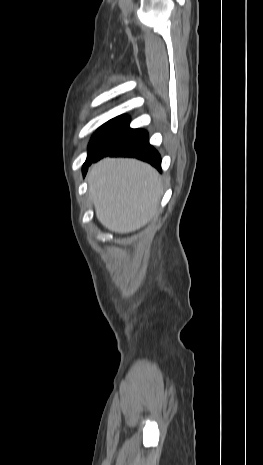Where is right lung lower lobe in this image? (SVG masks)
I'll use <instances>...</instances> for the list:
<instances>
[{
  "mask_svg": "<svg viewBox=\"0 0 263 465\" xmlns=\"http://www.w3.org/2000/svg\"><path fill=\"white\" fill-rule=\"evenodd\" d=\"M106 156L135 157L146 161L161 171V157L149 144L148 133L141 129H131L129 118H125L105 139L97 153L83 166L84 174L87 165L97 162Z\"/></svg>",
  "mask_w": 263,
  "mask_h": 465,
  "instance_id": "obj_1",
  "label": "right lung lower lobe"
}]
</instances>
